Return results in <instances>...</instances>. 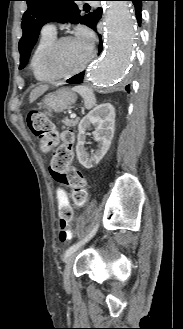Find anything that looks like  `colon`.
Instances as JSON below:
<instances>
[{
	"instance_id": "5ec220e1",
	"label": "colon",
	"mask_w": 183,
	"mask_h": 329,
	"mask_svg": "<svg viewBox=\"0 0 183 329\" xmlns=\"http://www.w3.org/2000/svg\"><path fill=\"white\" fill-rule=\"evenodd\" d=\"M27 126L38 138L43 152L52 151L59 140V135L48 115L41 110H32L27 115ZM61 144L55 149L50 162L49 170L54 181L61 186L70 187L72 202L75 206H81L86 200V181L82 172L72 165L74 135L71 131L61 133ZM69 201L68 199H58ZM70 202V201H69ZM71 206V203H70ZM72 218H60L59 240L68 241L71 232L67 223Z\"/></svg>"
}]
</instances>
